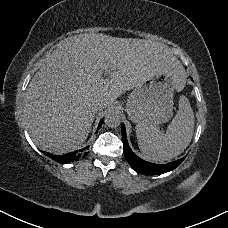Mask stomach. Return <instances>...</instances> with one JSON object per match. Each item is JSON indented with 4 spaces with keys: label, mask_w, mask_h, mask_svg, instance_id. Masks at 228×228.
Here are the masks:
<instances>
[{
    "label": "stomach",
    "mask_w": 228,
    "mask_h": 228,
    "mask_svg": "<svg viewBox=\"0 0 228 228\" xmlns=\"http://www.w3.org/2000/svg\"><path fill=\"white\" fill-rule=\"evenodd\" d=\"M177 82L171 73L155 74L129 95L127 113L136 123L158 125L172 116Z\"/></svg>",
    "instance_id": "obj_1"
}]
</instances>
